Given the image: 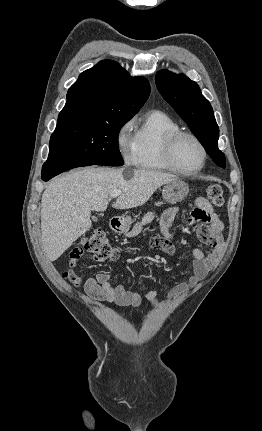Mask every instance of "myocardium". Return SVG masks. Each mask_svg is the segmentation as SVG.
Returning <instances> with one entry per match:
<instances>
[{"mask_svg": "<svg viewBox=\"0 0 262 431\" xmlns=\"http://www.w3.org/2000/svg\"><path fill=\"white\" fill-rule=\"evenodd\" d=\"M184 138H188V139L192 140L193 142H195L196 145L200 148V150L202 152V163L195 170L184 169L178 163V161L176 159L177 145ZM164 158L173 170H175V171H177V172H179L185 176H194V175L198 174L201 170H203V168L205 167L206 162H207V158H208V153H207L206 147L204 146V144L202 143V141L199 138H197L195 135H193L191 133L179 131V132L173 133L167 137L166 142H165V148H164Z\"/></svg>", "mask_w": 262, "mask_h": 431, "instance_id": "1", "label": "myocardium"}]
</instances>
